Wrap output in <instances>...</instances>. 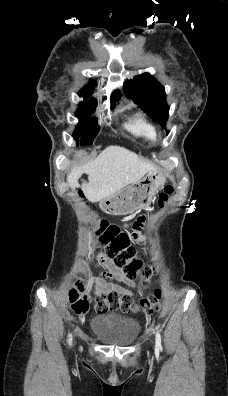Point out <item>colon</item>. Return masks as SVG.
Segmentation results:
<instances>
[{"mask_svg": "<svg viewBox=\"0 0 228 396\" xmlns=\"http://www.w3.org/2000/svg\"><path fill=\"white\" fill-rule=\"evenodd\" d=\"M174 188L166 186L159 195V205L162 206L172 195ZM145 221V216H140L133 225L135 231L140 230ZM101 244L105 246V254L101 256L105 260H110L119 268H123L130 280L142 277V285H147V280L151 274V267L144 264L137 255V250L131 241H137L139 235L135 232L129 236L119 226L101 221L95 232ZM162 292L156 290L148 298L142 299L139 303H134L129 294L118 296L111 293L108 296H99L96 299V307L99 311L120 308L123 311L143 310L147 314H153L160 308ZM69 300L73 310L77 314H84L88 309L89 299L85 294L84 283L80 280L75 282V287L70 291Z\"/></svg>", "mask_w": 228, "mask_h": 396, "instance_id": "obj_1", "label": "colon"}]
</instances>
